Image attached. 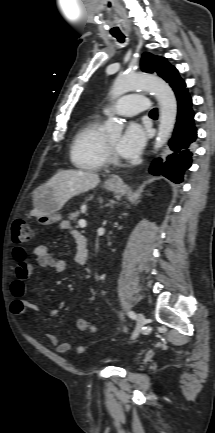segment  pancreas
Listing matches in <instances>:
<instances>
[{
    "label": "pancreas",
    "mask_w": 215,
    "mask_h": 433,
    "mask_svg": "<svg viewBox=\"0 0 215 433\" xmlns=\"http://www.w3.org/2000/svg\"><path fill=\"white\" fill-rule=\"evenodd\" d=\"M79 214H80V212L76 211L74 213H71L68 218H69V220L76 222Z\"/></svg>",
    "instance_id": "pancreas-1"
}]
</instances>
